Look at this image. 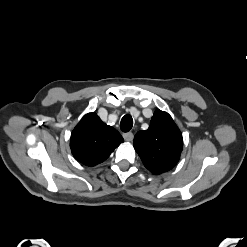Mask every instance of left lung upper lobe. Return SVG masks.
I'll return each mask as SVG.
<instances>
[{"instance_id":"1","label":"left lung upper lobe","mask_w":247,"mask_h":247,"mask_svg":"<svg viewBox=\"0 0 247 247\" xmlns=\"http://www.w3.org/2000/svg\"><path fill=\"white\" fill-rule=\"evenodd\" d=\"M182 134L171 116L156 110L147 130L134 137V148L145 167L159 175L172 169L180 159Z\"/></svg>"}]
</instances>
